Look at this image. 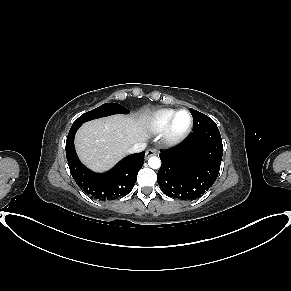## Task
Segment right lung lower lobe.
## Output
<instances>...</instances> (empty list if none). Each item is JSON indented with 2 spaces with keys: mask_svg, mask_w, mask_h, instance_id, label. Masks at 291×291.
I'll use <instances>...</instances> for the list:
<instances>
[{
  "mask_svg": "<svg viewBox=\"0 0 291 291\" xmlns=\"http://www.w3.org/2000/svg\"><path fill=\"white\" fill-rule=\"evenodd\" d=\"M79 127H71L66 140V156L71 175L77 185L94 199L106 201L127 195L134 187L145 152L129 155L110 171L98 174L86 168L78 159L74 136Z\"/></svg>",
  "mask_w": 291,
  "mask_h": 291,
  "instance_id": "obj_1",
  "label": "right lung lower lobe"
}]
</instances>
